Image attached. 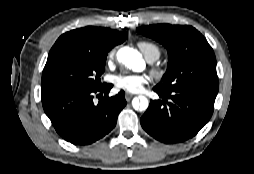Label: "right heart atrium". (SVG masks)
Here are the masks:
<instances>
[{
	"label": "right heart atrium",
	"mask_w": 254,
	"mask_h": 174,
	"mask_svg": "<svg viewBox=\"0 0 254 174\" xmlns=\"http://www.w3.org/2000/svg\"><path fill=\"white\" fill-rule=\"evenodd\" d=\"M115 54H116V48L110 49L109 52L107 53V61L111 62L114 59Z\"/></svg>",
	"instance_id": "d8ad5b80"
}]
</instances>
